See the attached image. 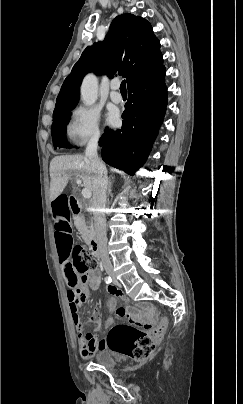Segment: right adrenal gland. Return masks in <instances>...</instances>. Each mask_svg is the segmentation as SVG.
I'll list each match as a JSON object with an SVG mask.
<instances>
[{"instance_id": "obj_1", "label": "right adrenal gland", "mask_w": 243, "mask_h": 404, "mask_svg": "<svg viewBox=\"0 0 243 404\" xmlns=\"http://www.w3.org/2000/svg\"><path fill=\"white\" fill-rule=\"evenodd\" d=\"M112 180H114V178H111V180H109V182H108V194H111V192H112V190H111V188H112Z\"/></svg>"}]
</instances>
